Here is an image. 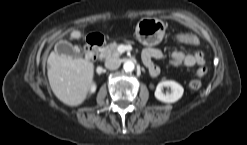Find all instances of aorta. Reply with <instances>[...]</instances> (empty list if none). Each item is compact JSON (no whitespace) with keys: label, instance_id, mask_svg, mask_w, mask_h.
Masks as SVG:
<instances>
[{"label":"aorta","instance_id":"1","mask_svg":"<svg viewBox=\"0 0 247 145\" xmlns=\"http://www.w3.org/2000/svg\"><path fill=\"white\" fill-rule=\"evenodd\" d=\"M135 68V65L132 61L128 60L124 63L123 65V69L126 71V72H132Z\"/></svg>","mask_w":247,"mask_h":145}]
</instances>
